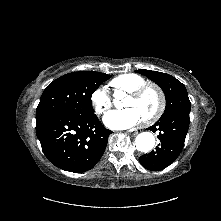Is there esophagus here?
I'll list each match as a JSON object with an SVG mask.
<instances>
[{"label":"esophagus","mask_w":221,"mask_h":221,"mask_svg":"<svg viewBox=\"0 0 221 221\" xmlns=\"http://www.w3.org/2000/svg\"><path fill=\"white\" fill-rule=\"evenodd\" d=\"M128 133H132L131 131H128ZM133 136L137 135L136 132L132 133Z\"/></svg>","instance_id":"34e87169"}]
</instances>
